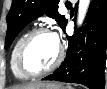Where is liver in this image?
Returning a JSON list of instances; mask_svg holds the SVG:
<instances>
[{
  "label": "liver",
  "mask_w": 107,
  "mask_h": 89,
  "mask_svg": "<svg viewBox=\"0 0 107 89\" xmlns=\"http://www.w3.org/2000/svg\"><path fill=\"white\" fill-rule=\"evenodd\" d=\"M45 85L46 84H44V83H30V84H27V85L18 86L15 89H34L35 87L45 86Z\"/></svg>",
  "instance_id": "1"
}]
</instances>
